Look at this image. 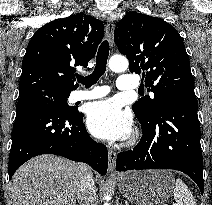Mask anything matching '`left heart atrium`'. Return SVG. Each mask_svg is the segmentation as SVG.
Instances as JSON below:
<instances>
[{
	"label": "left heart atrium",
	"instance_id": "obj_1",
	"mask_svg": "<svg viewBox=\"0 0 212 205\" xmlns=\"http://www.w3.org/2000/svg\"><path fill=\"white\" fill-rule=\"evenodd\" d=\"M87 127L98 138L121 140L132 130L131 114L114 99L95 102L87 112Z\"/></svg>",
	"mask_w": 212,
	"mask_h": 205
}]
</instances>
